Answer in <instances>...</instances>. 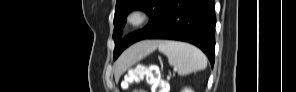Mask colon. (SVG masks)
Segmentation results:
<instances>
[{
    "label": "colon",
    "mask_w": 296,
    "mask_h": 92,
    "mask_svg": "<svg viewBox=\"0 0 296 92\" xmlns=\"http://www.w3.org/2000/svg\"><path fill=\"white\" fill-rule=\"evenodd\" d=\"M145 79L152 87L154 92H161L164 86V83L160 79L159 69L157 66H137L132 69L128 74V77L125 81L126 85H129L131 82L136 80ZM136 92H142L141 89H135Z\"/></svg>",
    "instance_id": "1"
}]
</instances>
